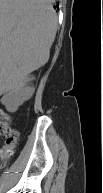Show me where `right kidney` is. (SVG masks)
<instances>
[{
	"instance_id": "right-kidney-1",
	"label": "right kidney",
	"mask_w": 103,
	"mask_h": 193,
	"mask_svg": "<svg viewBox=\"0 0 103 193\" xmlns=\"http://www.w3.org/2000/svg\"><path fill=\"white\" fill-rule=\"evenodd\" d=\"M33 77L21 76L14 80L5 90L4 104L8 111H15L33 93L34 87L31 83Z\"/></svg>"
}]
</instances>
